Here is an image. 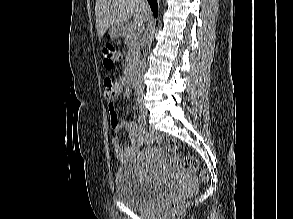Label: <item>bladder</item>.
Instances as JSON below:
<instances>
[{
	"label": "bladder",
	"mask_w": 293,
	"mask_h": 219,
	"mask_svg": "<svg viewBox=\"0 0 293 219\" xmlns=\"http://www.w3.org/2000/svg\"><path fill=\"white\" fill-rule=\"evenodd\" d=\"M115 195L118 201L132 208H145L165 191L167 182L149 181L135 166L122 165L115 175Z\"/></svg>",
	"instance_id": "1"
}]
</instances>
